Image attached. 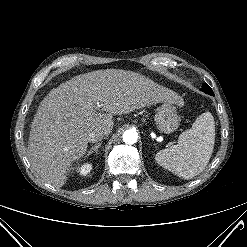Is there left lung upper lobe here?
<instances>
[{
    "label": "left lung upper lobe",
    "mask_w": 247,
    "mask_h": 247,
    "mask_svg": "<svg viewBox=\"0 0 247 247\" xmlns=\"http://www.w3.org/2000/svg\"><path fill=\"white\" fill-rule=\"evenodd\" d=\"M203 92L209 94V95H214L212 89L208 86V84H203L202 89Z\"/></svg>",
    "instance_id": "5c2ea615"
}]
</instances>
